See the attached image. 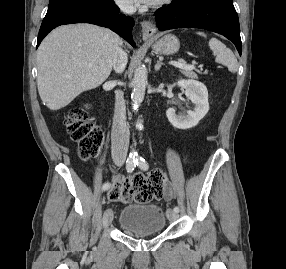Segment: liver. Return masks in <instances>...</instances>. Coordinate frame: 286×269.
<instances>
[{
  "instance_id": "liver-1",
  "label": "liver",
  "mask_w": 286,
  "mask_h": 269,
  "mask_svg": "<svg viewBox=\"0 0 286 269\" xmlns=\"http://www.w3.org/2000/svg\"><path fill=\"white\" fill-rule=\"evenodd\" d=\"M122 44L112 31L91 24L54 29L37 51V86L50 110H59L79 94L100 86L110 75Z\"/></svg>"
}]
</instances>
